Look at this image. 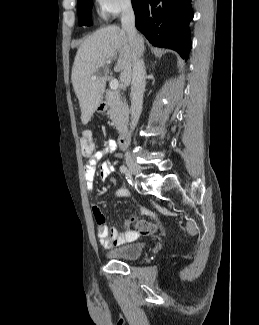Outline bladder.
I'll return each mask as SVG.
<instances>
[{
    "instance_id": "31cf9c89",
    "label": "bladder",
    "mask_w": 259,
    "mask_h": 325,
    "mask_svg": "<svg viewBox=\"0 0 259 325\" xmlns=\"http://www.w3.org/2000/svg\"><path fill=\"white\" fill-rule=\"evenodd\" d=\"M144 249L142 242H133L113 247L106 252V257L117 261H132L138 259Z\"/></svg>"
}]
</instances>
